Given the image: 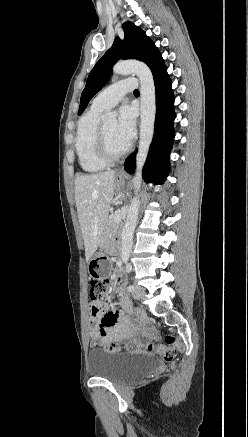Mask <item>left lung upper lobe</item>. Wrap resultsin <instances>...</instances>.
Listing matches in <instances>:
<instances>
[{"label":"left lung upper lobe","instance_id":"obj_1","mask_svg":"<svg viewBox=\"0 0 248 437\" xmlns=\"http://www.w3.org/2000/svg\"><path fill=\"white\" fill-rule=\"evenodd\" d=\"M124 40L116 37L112 47L96 63L90 72L86 86L81 94L78 115H81L89 100L107 83L112 66L120 59H138L146 63L154 75L162 67L164 61L155 44L145 32L131 22L122 26Z\"/></svg>","mask_w":248,"mask_h":437}]
</instances>
